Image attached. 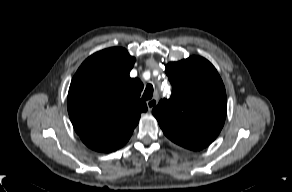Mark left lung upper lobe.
Here are the masks:
<instances>
[{
    "label": "left lung upper lobe",
    "instance_id": "5c2ea615",
    "mask_svg": "<svg viewBox=\"0 0 292 192\" xmlns=\"http://www.w3.org/2000/svg\"><path fill=\"white\" fill-rule=\"evenodd\" d=\"M172 84L170 99L152 110L163 133L174 143L201 150L220 133L227 111L224 84L205 58L192 56L166 66Z\"/></svg>",
    "mask_w": 292,
    "mask_h": 192
}]
</instances>
